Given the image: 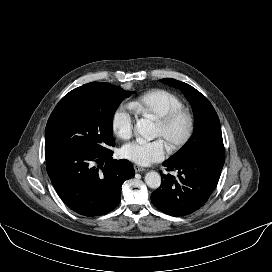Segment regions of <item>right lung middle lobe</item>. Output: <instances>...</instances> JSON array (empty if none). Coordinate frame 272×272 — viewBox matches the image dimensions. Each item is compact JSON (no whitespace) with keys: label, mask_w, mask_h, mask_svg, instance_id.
<instances>
[{"label":"right lung middle lobe","mask_w":272,"mask_h":272,"mask_svg":"<svg viewBox=\"0 0 272 272\" xmlns=\"http://www.w3.org/2000/svg\"><path fill=\"white\" fill-rule=\"evenodd\" d=\"M89 99L54 109L45 132V159L71 151L97 154L115 146L113 115L130 96L118 86L105 82L88 83Z\"/></svg>","instance_id":"1"}]
</instances>
